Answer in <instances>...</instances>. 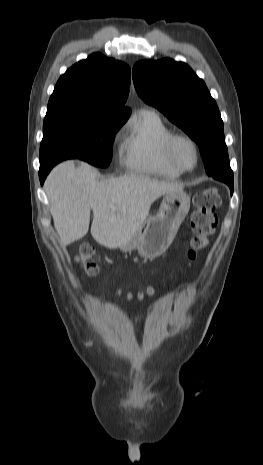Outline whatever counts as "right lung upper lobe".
<instances>
[{
  "label": "right lung upper lobe",
  "mask_w": 263,
  "mask_h": 465,
  "mask_svg": "<svg viewBox=\"0 0 263 465\" xmlns=\"http://www.w3.org/2000/svg\"><path fill=\"white\" fill-rule=\"evenodd\" d=\"M130 75L125 63L94 53L59 78L48 107L82 106L130 115L131 110L124 106Z\"/></svg>",
  "instance_id": "1"
}]
</instances>
